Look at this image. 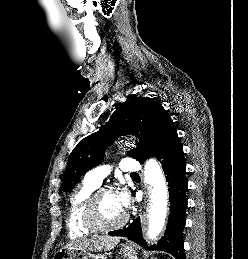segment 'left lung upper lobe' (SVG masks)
Returning a JSON list of instances; mask_svg holds the SVG:
<instances>
[{"label": "left lung upper lobe", "instance_id": "1", "mask_svg": "<svg viewBox=\"0 0 248 259\" xmlns=\"http://www.w3.org/2000/svg\"><path fill=\"white\" fill-rule=\"evenodd\" d=\"M135 134L140 142L129 156L143 162L179 140L174 123L163 106L149 97L122 103L99 131L82 139L70 154L62 188L68 191L79 178L103 160L105 149L118 137Z\"/></svg>", "mask_w": 248, "mask_h": 259}]
</instances>
